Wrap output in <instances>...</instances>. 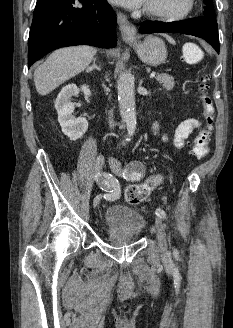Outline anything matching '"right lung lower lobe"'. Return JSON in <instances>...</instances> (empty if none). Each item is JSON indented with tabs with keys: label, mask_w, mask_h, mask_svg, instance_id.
<instances>
[{
	"label": "right lung lower lobe",
	"mask_w": 233,
	"mask_h": 328,
	"mask_svg": "<svg viewBox=\"0 0 233 328\" xmlns=\"http://www.w3.org/2000/svg\"><path fill=\"white\" fill-rule=\"evenodd\" d=\"M116 46V16L106 0H37L28 39V68L73 45Z\"/></svg>",
	"instance_id": "98d812e1"
}]
</instances>
